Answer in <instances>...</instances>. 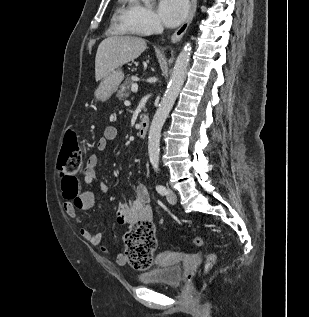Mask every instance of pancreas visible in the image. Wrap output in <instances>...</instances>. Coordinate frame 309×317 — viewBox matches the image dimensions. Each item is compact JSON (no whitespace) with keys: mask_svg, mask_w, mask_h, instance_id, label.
I'll return each instance as SVG.
<instances>
[{"mask_svg":"<svg viewBox=\"0 0 309 317\" xmlns=\"http://www.w3.org/2000/svg\"><path fill=\"white\" fill-rule=\"evenodd\" d=\"M133 84V80L126 79L125 82L120 86V89L117 92V97L121 100L127 98L130 94V87Z\"/></svg>","mask_w":309,"mask_h":317,"instance_id":"obj_1","label":"pancreas"}]
</instances>
